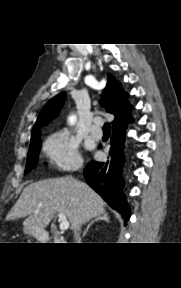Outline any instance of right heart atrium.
<instances>
[{
	"label": "right heart atrium",
	"instance_id": "1",
	"mask_svg": "<svg viewBox=\"0 0 181 288\" xmlns=\"http://www.w3.org/2000/svg\"><path fill=\"white\" fill-rule=\"evenodd\" d=\"M44 152L49 163L59 171H73L83 163L79 142L67 130L50 135L44 144Z\"/></svg>",
	"mask_w": 181,
	"mask_h": 288
}]
</instances>
